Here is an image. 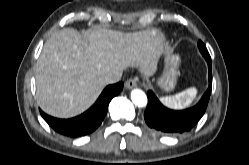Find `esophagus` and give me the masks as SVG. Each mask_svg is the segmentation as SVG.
Instances as JSON below:
<instances>
[{
	"mask_svg": "<svg viewBox=\"0 0 249 165\" xmlns=\"http://www.w3.org/2000/svg\"><path fill=\"white\" fill-rule=\"evenodd\" d=\"M137 86V82L135 79L130 78L125 82V88L126 89H132Z\"/></svg>",
	"mask_w": 249,
	"mask_h": 165,
	"instance_id": "1",
	"label": "esophagus"
}]
</instances>
